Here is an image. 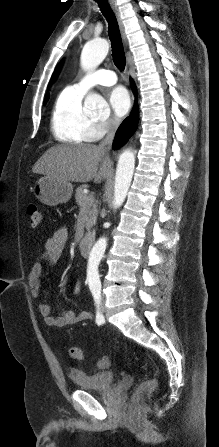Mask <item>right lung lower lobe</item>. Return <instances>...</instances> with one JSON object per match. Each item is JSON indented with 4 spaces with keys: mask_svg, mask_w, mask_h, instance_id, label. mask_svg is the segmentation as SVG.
Listing matches in <instances>:
<instances>
[{
    "mask_svg": "<svg viewBox=\"0 0 219 447\" xmlns=\"http://www.w3.org/2000/svg\"><path fill=\"white\" fill-rule=\"evenodd\" d=\"M131 85L134 93H136V87L132 80ZM138 121H139V110L138 105L136 104L133 110L131 111L130 116L127 117L119 126L115 135L113 147H119L128 140V138L135 132L138 125Z\"/></svg>",
    "mask_w": 219,
    "mask_h": 447,
    "instance_id": "1",
    "label": "right lung lower lobe"
}]
</instances>
